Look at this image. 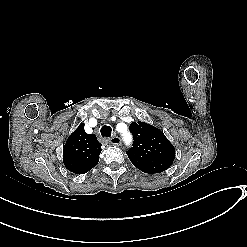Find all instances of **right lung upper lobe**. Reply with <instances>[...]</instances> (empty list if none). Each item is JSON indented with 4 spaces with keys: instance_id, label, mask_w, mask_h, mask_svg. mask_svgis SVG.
I'll return each mask as SVG.
<instances>
[{
    "instance_id": "right-lung-upper-lobe-1",
    "label": "right lung upper lobe",
    "mask_w": 247,
    "mask_h": 247,
    "mask_svg": "<svg viewBox=\"0 0 247 247\" xmlns=\"http://www.w3.org/2000/svg\"><path fill=\"white\" fill-rule=\"evenodd\" d=\"M101 144L94 134H86L84 124L69 136L63 149L65 167L76 174H84L99 161Z\"/></svg>"
}]
</instances>
